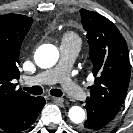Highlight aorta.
Wrapping results in <instances>:
<instances>
[{
	"instance_id": "aorta-1",
	"label": "aorta",
	"mask_w": 133,
	"mask_h": 133,
	"mask_svg": "<svg viewBox=\"0 0 133 133\" xmlns=\"http://www.w3.org/2000/svg\"><path fill=\"white\" fill-rule=\"evenodd\" d=\"M59 58L58 49L51 44L42 46L35 54V62L41 68L54 66ZM69 119L80 124L85 120V111L79 106H72L68 112Z\"/></svg>"
}]
</instances>
